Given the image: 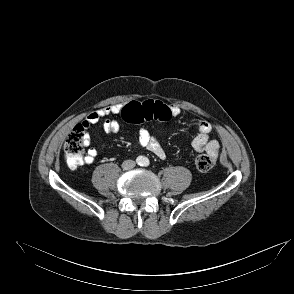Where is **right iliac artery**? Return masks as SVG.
<instances>
[{
    "instance_id": "82829eb1",
    "label": "right iliac artery",
    "mask_w": 294,
    "mask_h": 294,
    "mask_svg": "<svg viewBox=\"0 0 294 294\" xmlns=\"http://www.w3.org/2000/svg\"><path fill=\"white\" fill-rule=\"evenodd\" d=\"M137 162H138L139 165H142L141 159H138Z\"/></svg>"
}]
</instances>
